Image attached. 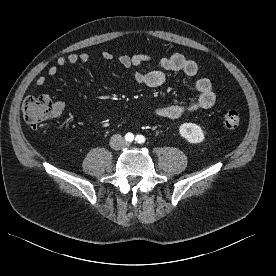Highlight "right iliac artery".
Segmentation results:
<instances>
[{"mask_svg": "<svg viewBox=\"0 0 276 276\" xmlns=\"http://www.w3.org/2000/svg\"><path fill=\"white\" fill-rule=\"evenodd\" d=\"M125 140H126L127 142H132V141L134 140V135H133L132 133H127V134L125 135Z\"/></svg>", "mask_w": 276, "mask_h": 276, "instance_id": "1", "label": "right iliac artery"}]
</instances>
